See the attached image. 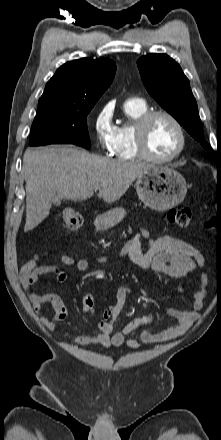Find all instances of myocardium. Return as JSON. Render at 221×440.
Returning <instances> with one entry per match:
<instances>
[{
	"mask_svg": "<svg viewBox=\"0 0 221 440\" xmlns=\"http://www.w3.org/2000/svg\"><path fill=\"white\" fill-rule=\"evenodd\" d=\"M159 116L169 119L176 127L179 135V145L175 152L168 157H157L153 155L147 145L148 126L153 119ZM134 139L139 156L145 160L156 163H168L175 160L183 153L186 147V134L183 125L172 113L162 109L148 111L136 121L134 126Z\"/></svg>",
	"mask_w": 221,
	"mask_h": 440,
	"instance_id": "f54148a6",
	"label": "myocardium"
}]
</instances>
